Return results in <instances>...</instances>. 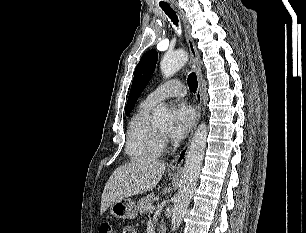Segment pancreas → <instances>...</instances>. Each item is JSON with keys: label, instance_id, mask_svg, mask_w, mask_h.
Masks as SVG:
<instances>
[{"label": "pancreas", "instance_id": "pancreas-1", "mask_svg": "<svg viewBox=\"0 0 306 233\" xmlns=\"http://www.w3.org/2000/svg\"><path fill=\"white\" fill-rule=\"evenodd\" d=\"M155 200V195L154 193H151L147 196H144L143 198L139 199L137 203V209L140 214H144L148 211V206L152 205V203Z\"/></svg>", "mask_w": 306, "mask_h": 233}]
</instances>
